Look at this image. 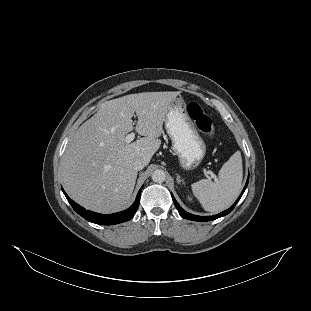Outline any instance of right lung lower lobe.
I'll list each match as a JSON object with an SVG mask.
<instances>
[{
  "instance_id": "obj_1",
  "label": "right lung lower lobe",
  "mask_w": 311,
  "mask_h": 311,
  "mask_svg": "<svg viewBox=\"0 0 311 311\" xmlns=\"http://www.w3.org/2000/svg\"><path fill=\"white\" fill-rule=\"evenodd\" d=\"M62 191L65 194L71 206L73 207V209L79 215H81L83 218H85L86 220L92 223H96L100 225H112V224H118V223H122V222L130 220L138 209L139 202H140V193H141V189H140L137 194L135 202L127 210L114 213V214L104 215V214H99V213H95L92 211H87L83 207L76 204L73 200H71L63 189Z\"/></svg>"
}]
</instances>
